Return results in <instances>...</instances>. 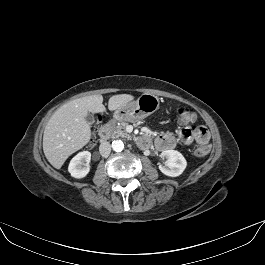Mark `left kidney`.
Masks as SVG:
<instances>
[{"label":"left kidney","instance_id":"obj_1","mask_svg":"<svg viewBox=\"0 0 265 265\" xmlns=\"http://www.w3.org/2000/svg\"><path fill=\"white\" fill-rule=\"evenodd\" d=\"M165 158L164 165L159 166V170L170 177H177L183 173L187 166L184 156L176 150H165L160 155Z\"/></svg>","mask_w":265,"mask_h":265}]
</instances>
